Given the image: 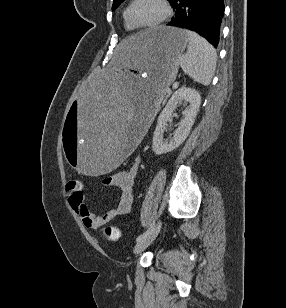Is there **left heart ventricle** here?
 <instances>
[{
	"mask_svg": "<svg viewBox=\"0 0 286 308\" xmlns=\"http://www.w3.org/2000/svg\"><path fill=\"white\" fill-rule=\"evenodd\" d=\"M163 14L159 0H137L131 10V18L138 25L157 21Z\"/></svg>",
	"mask_w": 286,
	"mask_h": 308,
	"instance_id": "obj_1",
	"label": "left heart ventricle"
}]
</instances>
